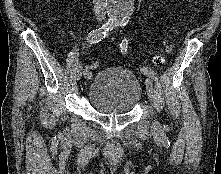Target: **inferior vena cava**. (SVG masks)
I'll return each instance as SVG.
<instances>
[{"mask_svg":"<svg viewBox=\"0 0 221 174\" xmlns=\"http://www.w3.org/2000/svg\"><path fill=\"white\" fill-rule=\"evenodd\" d=\"M94 12L97 17H105L107 5L105 0H93Z\"/></svg>","mask_w":221,"mask_h":174,"instance_id":"obj_1","label":"inferior vena cava"}]
</instances>
